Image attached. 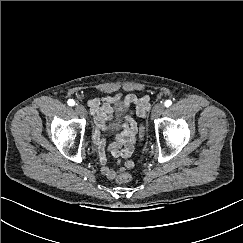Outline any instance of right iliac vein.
<instances>
[{
	"label": "right iliac vein",
	"mask_w": 243,
	"mask_h": 243,
	"mask_svg": "<svg viewBox=\"0 0 243 243\" xmlns=\"http://www.w3.org/2000/svg\"><path fill=\"white\" fill-rule=\"evenodd\" d=\"M75 111L81 117H86V115H87L86 109L82 105H76L75 106Z\"/></svg>",
	"instance_id": "right-iliac-vein-1"
}]
</instances>
